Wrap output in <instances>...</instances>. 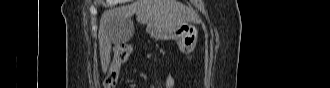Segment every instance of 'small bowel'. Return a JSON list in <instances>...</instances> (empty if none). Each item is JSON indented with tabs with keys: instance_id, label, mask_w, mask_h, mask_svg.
Returning a JSON list of instances; mask_svg holds the SVG:
<instances>
[{
	"instance_id": "1",
	"label": "small bowel",
	"mask_w": 330,
	"mask_h": 88,
	"mask_svg": "<svg viewBox=\"0 0 330 88\" xmlns=\"http://www.w3.org/2000/svg\"><path fill=\"white\" fill-rule=\"evenodd\" d=\"M131 51H132V48H131ZM131 51H129V47L128 46H125V45H121L118 49V52L120 53V55L122 56H128L131 54ZM128 59V58H127ZM167 86L169 88H173L175 86V80L172 76H169L168 77V80H167Z\"/></svg>"
}]
</instances>
